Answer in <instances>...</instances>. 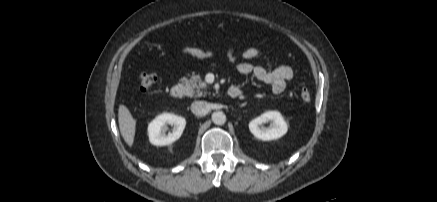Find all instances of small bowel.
<instances>
[{
	"label": "small bowel",
	"instance_id": "c3829d8e",
	"mask_svg": "<svg viewBox=\"0 0 437 202\" xmlns=\"http://www.w3.org/2000/svg\"><path fill=\"white\" fill-rule=\"evenodd\" d=\"M185 55L197 59H209L214 56L211 50L199 47L187 46L181 49ZM261 51L258 48H248L242 53V60L237 63V70L245 76H252L257 81L270 85L274 94L279 95L286 89L287 82L293 78V70L287 65H281L273 69H266L262 66L252 64L251 60L259 57ZM230 61L236 62L237 57L234 50L230 48L227 52ZM239 89V88H238Z\"/></svg>",
	"mask_w": 437,
	"mask_h": 202
}]
</instances>
